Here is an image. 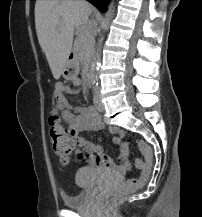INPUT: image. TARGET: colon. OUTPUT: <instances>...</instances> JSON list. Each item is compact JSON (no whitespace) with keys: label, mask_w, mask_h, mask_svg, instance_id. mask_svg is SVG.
<instances>
[{"label":"colon","mask_w":202,"mask_h":217,"mask_svg":"<svg viewBox=\"0 0 202 217\" xmlns=\"http://www.w3.org/2000/svg\"><path fill=\"white\" fill-rule=\"evenodd\" d=\"M49 137L54 154L59 158L63 166H68L72 154L81 158L82 152L77 149L73 137L68 133L67 128L62 124L59 115L52 112L49 117ZM138 147L145 157V161L140 158L135 159V165L140 169L139 177L130 178L126 182L116 186L102 200L106 206H112L118 199L127 192L140 188L151 176L153 167V150L144 141L138 142Z\"/></svg>","instance_id":"1"}]
</instances>
